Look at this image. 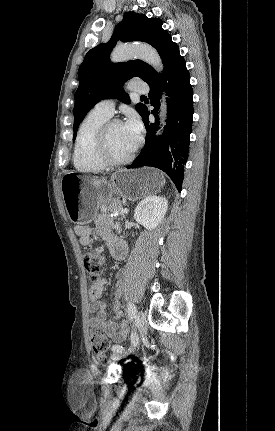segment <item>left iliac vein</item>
Wrapping results in <instances>:
<instances>
[{
	"mask_svg": "<svg viewBox=\"0 0 275 431\" xmlns=\"http://www.w3.org/2000/svg\"><path fill=\"white\" fill-rule=\"evenodd\" d=\"M136 325H137V328H138V335H137L138 343H137V345L135 347H132L129 352H125V351L115 352V351H113V353L111 355V358L113 360H118V359L124 358L129 353L135 351V349L140 344L142 338L146 335V332H147V320H146V315H145V313L143 311H139L138 312Z\"/></svg>",
	"mask_w": 275,
	"mask_h": 431,
	"instance_id": "left-iliac-vein-1",
	"label": "left iliac vein"
}]
</instances>
